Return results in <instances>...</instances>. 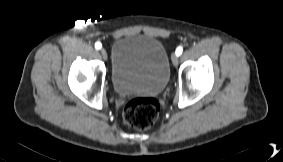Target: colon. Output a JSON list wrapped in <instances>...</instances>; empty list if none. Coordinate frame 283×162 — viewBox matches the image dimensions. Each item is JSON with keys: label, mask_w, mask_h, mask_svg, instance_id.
<instances>
[{"label": "colon", "mask_w": 283, "mask_h": 162, "mask_svg": "<svg viewBox=\"0 0 283 162\" xmlns=\"http://www.w3.org/2000/svg\"><path fill=\"white\" fill-rule=\"evenodd\" d=\"M160 112L159 102L154 98H133L123 109V119L126 124L138 130L151 127Z\"/></svg>", "instance_id": "1"}]
</instances>
